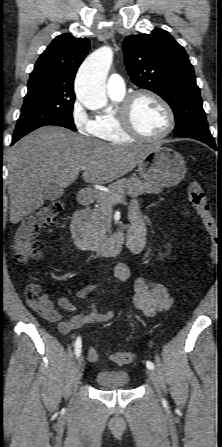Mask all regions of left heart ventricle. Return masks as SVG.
I'll return each mask as SVG.
<instances>
[{"label":"left heart ventricle","mask_w":222,"mask_h":447,"mask_svg":"<svg viewBox=\"0 0 222 447\" xmlns=\"http://www.w3.org/2000/svg\"><path fill=\"white\" fill-rule=\"evenodd\" d=\"M132 120L139 132L147 136H157L167 125L164 109L152 98L140 96L132 109Z\"/></svg>","instance_id":"b2bd125f"}]
</instances>
